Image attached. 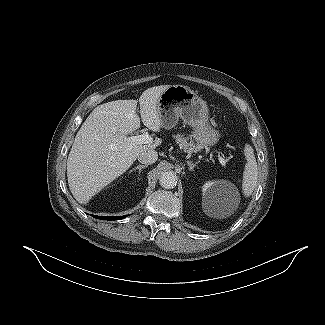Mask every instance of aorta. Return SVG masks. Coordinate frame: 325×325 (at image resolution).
I'll use <instances>...</instances> for the list:
<instances>
[{
    "label": "aorta",
    "instance_id": "762f6f07",
    "mask_svg": "<svg viewBox=\"0 0 325 325\" xmlns=\"http://www.w3.org/2000/svg\"><path fill=\"white\" fill-rule=\"evenodd\" d=\"M177 176L173 171L163 172L159 178V183L163 188L172 189L177 184Z\"/></svg>",
    "mask_w": 325,
    "mask_h": 325
}]
</instances>
